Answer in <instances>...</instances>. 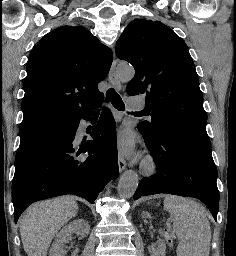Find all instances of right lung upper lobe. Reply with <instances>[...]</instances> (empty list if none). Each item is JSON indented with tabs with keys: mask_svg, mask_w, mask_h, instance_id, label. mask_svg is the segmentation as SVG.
Returning a JSON list of instances; mask_svg holds the SVG:
<instances>
[{
	"mask_svg": "<svg viewBox=\"0 0 236 256\" xmlns=\"http://www.w3.org/2000/svg\"><path fill=\"white\" fill-rule=\"evenodd\" d=\"M113 55L82 26H61L30 53L22 100L23 120L52 114L75 119L103 99L98 83Z\"/></svg>",
	"mask_w": 236,
	"mask_h": 256,
	"instance_id": "right-lung-upper-lobe-1",
	"label": "right lung upper lobe"
}]
</instances>
